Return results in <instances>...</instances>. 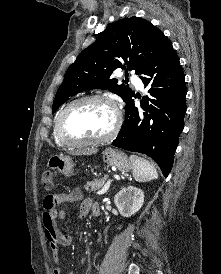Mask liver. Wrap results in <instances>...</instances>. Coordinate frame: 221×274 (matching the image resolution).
Wrapping results in <instances>:
<instances>
[{"instance_id":"obj_1","label":"liver","mask_w":221,"mask_h":274,"mask_svg":"<svg viewBox=\"0 0 221 274\" xmlns=\"http://www.w3.org/2000/svg\"><path fill=\"white\" fill-rule=\"evenodd\" d=\"M96 152H97L96 149L88 148V149H84V150L71 152V154H73V155H92V154H95Z\"/></svg>"}]
</instances>
